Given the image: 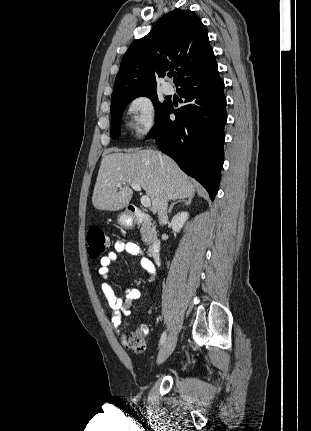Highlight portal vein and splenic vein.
I'll return each mask as SVG.
<instances>
[{
  "label": "portal vein and splenic vein",
  "mask_w": 311,
  "mask_h": 431,
  "mask_svg": "<svg viewBox=\"0 0 311 431\" xmlns=\"http://www.w3.org/2000/svg\"><path fill=\"white\" fill-rule=\"evenodd\" d=\"M123 184H125V182H123ZM117 186H122V184H117ZM131 188H133V190H135V192H142V188L141 186H138V184H130ZM142 206H144V208H151V200L149 198V196H141V200H140Z\"/></svg>",
  "instance_id": "portal-vein-and-splenic-vein-1"
}]
</instances>
